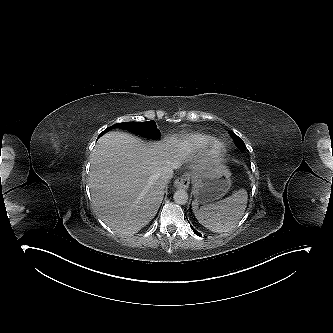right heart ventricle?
<instances>
[{"label":"right heart ventricle","instance_id":"1","mask_svg":"<svg viewBox=\"0 0 333 333\" xmlns=\"http://www.w3.org/2000/svg\"><path fill=\"white\" fill-rule=\"evenodd\" d=\"M211 137L202 133L187 134L180 140V144L190 152L203 151L210 143Z\"/></svg>","mask_w":333,"mask_h":333}]
</instances>
